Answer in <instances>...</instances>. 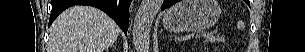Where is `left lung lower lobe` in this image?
<instances>
[{"mask_svg": "<svg viewBox=\"0 0 305 52\" xmlns=\"http://www.w3.org/2000/svg\"><path fill=\"white\" fill-rule=\"evenodd\" d=\"M178 0H164L161 10H164L170 6H172L173 4H175Z\"/></svg>", "mask_w": 305, "mask_h": 52, "instance_id": "obj_1", "label": "left lung lower lobe"}]
</instances>
